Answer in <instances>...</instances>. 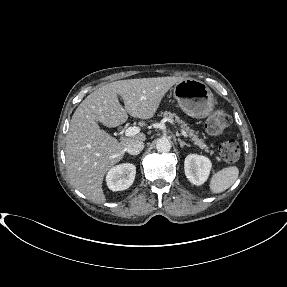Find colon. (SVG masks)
I'll list each match as a JSON object with an SVG mask.
<instances>
[{
  "instance_id": "colon-1",
  "label": "colon",
  "mask_w": 287,
  "mask_h": 287,
  "mask_svg": "<svg viewBox=\"0 0 287 287\" xmlns=\"http://www.w3.org/2000/svg\"><path fill=\"white\" fill-rule=\"evenodd\" d=\"M232 120L230 115L220 109L215 111L205 123V130L208 135L216 136L222 133L230 124ZM219 154L221 158L229 163L236 162L240 157V147L237 141L230 139L223 142L219 146Z\"/></svg>"
}]
</instances>
